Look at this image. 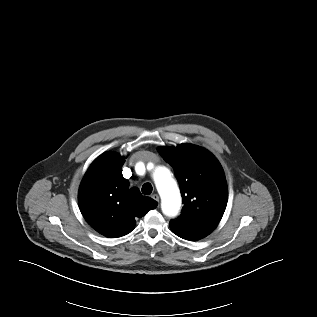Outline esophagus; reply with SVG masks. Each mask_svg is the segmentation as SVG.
Wrapping results in <instances>:
<instances>
[{
	"label": "esophagus",
	"instance_id": "34e87169",
	"mask_svg": "<svg viewBox=\"0 0 317 317\" xmlns=\"http://www.w3.org/2000/svg\"><path fill=\"white\" fill-rule=\"evenodd\" d=\"M152 199H154L155 201L159 202V195L158 194H153Z\"/></svg>",
	"mask_w": 317,
	"mask_h": 317
}]
</instances>
